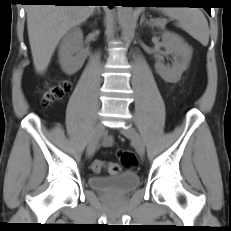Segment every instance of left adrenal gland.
I'll list each match as a JSON object with an SVG mask.
<instances>
[{
  "label": "left adrenal gland",
  "instance_id": "a2214340",
  "mask_svg": "<svg viewBox=\"0 0 231 231\" xmlns=\"http://www.w3.org/2000/svg\"><path fill=\"white\" fill-rule=\"evenodd\" d=\"M151 25V23L146 19L145 14L143 13L140 19V25Z\"/></svg>",
  "mask_w": 231,
  "mask_h": 231
}]
</instances>
